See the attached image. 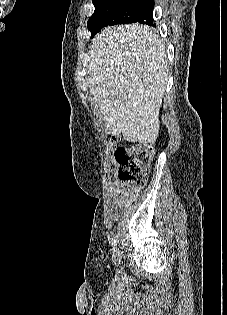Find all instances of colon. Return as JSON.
I'll use <instances>...</instances> for the list:
<instances>
[{"mask_svg":"<svg viewBox=\"0 0 227 315\" xmlns=\"http://www.w3.org/2000/svg\"><path fill=\"white\" fill-rule=\"evenodd\" d=\"M117 140L114 138L110 142V150L117 166L114 168V176L134 189H141L147 180V171L150 167L154 149L145 143H136L128 148H117ZM113 178L112 167L105 171V179Z\"/></svg>","mask_w":227,"mask_h":315,"instance_id":"colon-1","label":"colon"}]
</instances>
